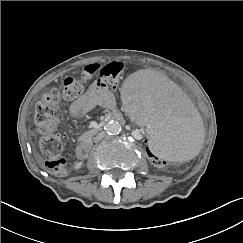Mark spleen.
<instances>
[{
	"instance_id": "spleen-1",
	"label": "spleen",
	"mask_w": 243,
	"mask_h": 243,
	"mask_svg": "<svg viewBox=\"0 0 243 243\" xmlns=\"http://www.w3.org/2000/svg\"><path fill=\"white\" fill-rule=\"evenodd\" d=\"M123 92L126 112L135 120L150 124L149 143L158 156L183 161L198 153L203 127L180 84L145 69L129 76Z\"/></svg>"
}]
</instances>
